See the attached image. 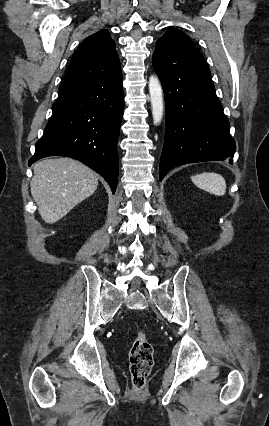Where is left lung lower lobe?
Here are the masks:
<instances>
[{
  "instance_id": "1",
  "label": "left lung lower lobe",
  "mask_w": 269,
  "mask_h": 426,
  "mask_svg": "<svg viewBox=\"0 0 269 426\" xmlns=\"http://www.w3.org/2000/svg\"><path fill=\"white\" fill-rule=\"evenodd\" d=\"M152 64L166 104L160 180L176 166L233 157L236 145L229 121L202 54L193 47L157 41Z\"/></svg>"
}]
</instances>
